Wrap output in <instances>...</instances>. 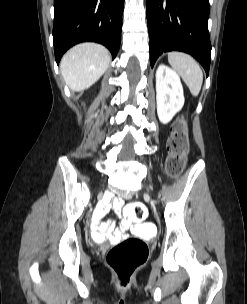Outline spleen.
Instances as JSON below:
<instances>
[{
    "mask_svg": "<svg viewBox=\"0 0 247 304\" xmlns=\"http://www.w3.org/2000/svg\"><path fill=\"white\" fill-rule=\"evenodd\" d=\"M170 65L180 74L193 96H198L203 73L198 63L188 54L178 51L168 53Z\"/></svg>",
    "mask_w": 247,
    "mask_h": 304,
    "instance_id": "3e777b00",
    "label": "spleen"
}]
</instances>
